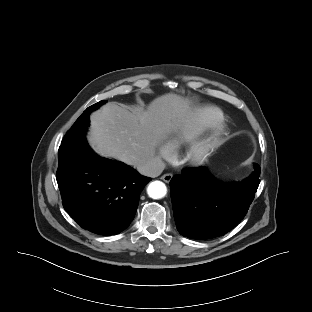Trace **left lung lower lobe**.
I'll return each instance as SVG.
<instances>
[{
    "label": "left lung lower lobe",
    "instance_id": "left-lung-lower-lobe-1",
    "mask_svg": "<svg viewBox=\"0 0 312 312\" xmlns=\"http://www.w3.org/2000/svg\"><path fill=\"white\" fill-rule=\"evenodd\" d=\"M260 166L235 183L214 180L205 167L187 169L170 181L174 219L191 239L222 236L246 215L259 186Z\"/></svg>",
    "mask_w": 312,
    "mask_h": 312
}]
</instances>
